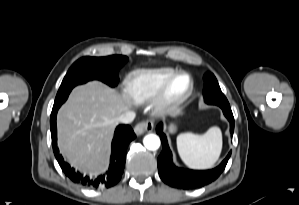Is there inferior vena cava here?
<instances>
[{"mask_svg": "<svg viewBox=\"0 0 299 205\" xmlns=\"http://www.w3.org/2000/svg\"><path fill=\"white\" fill-rule=\"evenodd\" d=\"M134 118H135V112H133V111H127V112L121 114L118 117L117 121L119 123L129 124V123H131L134 120Z\"/></svg>", "mask_w": 299, "mask_h": 205, "instance_id": "1", "label": "inferior vena cava"}]
</instances>
